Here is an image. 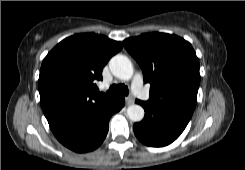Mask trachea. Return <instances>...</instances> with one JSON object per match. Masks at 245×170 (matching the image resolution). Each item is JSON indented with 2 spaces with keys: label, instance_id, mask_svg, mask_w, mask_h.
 I'll return each mask as SVG.
<instances>
[{
  "label": "trachea",
  "instance_id": "obj_1",
  "mask_svg": "<svg viewBox=\"0 0 245 170\" xmlns=\"http://www.w3.org/2000/svg\"><path fill=\"white\" fill-rule=\"evenodd\" d=\"M108 93L111 94H116V93H121L122 95L127 96L129 93L128 87L125 86L124 84H113L110 86Z\"/></svg>",
  "mask_w": 245,
  "mask_h": 170
}]
</instances>
